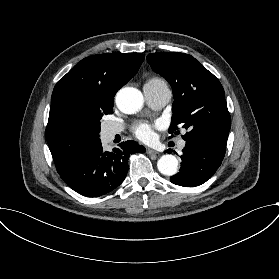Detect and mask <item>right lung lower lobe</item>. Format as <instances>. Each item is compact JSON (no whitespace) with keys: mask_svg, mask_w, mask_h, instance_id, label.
Returning <instances> with one entry per match:
<instances>
[{"mask_svg":"<svg viewBox=\"0 0 279 279\" xmlns=\"http://www.w3.org/2000/svg\"><path fill=\"white\" fill-rule=\"evenodd\" d=\"M120 149L103 152L101 142L74 161L67 168L57 171L65 183L87 197H99L118 187L128 171V158L133 152H145L134 141L119 144Z\"/></svg>","mask_w":279,"mask_h":279,"instance_id":"right-lung-lower-lobe-1","label":"right lung lower lobe"}]
</instances>
